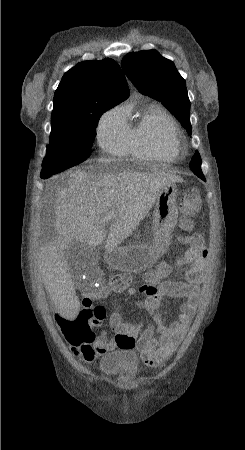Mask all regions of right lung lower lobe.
<instances>
[{"instance_id": "98d812e1", "label": "right lung lower lobe", "mask_w": 245, "mask_h": 450, "mask_svg": "<svg viewBox=\"0 0 245 450\" xmlns=\"http://www.w3.org/2000/svg\"><path fill=\"white\" fill-rule=\"evenodd\" d=\"M41 178H43V179H47L48 177H46V176H41Z\"/></svg>"}]
</instances>
